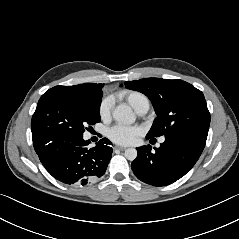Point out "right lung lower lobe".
Returning a JSON list of instances; mask_svg holds the SVG:
<instances>
[{"label": "right lung lower lobe", "mask_w": 239, "mask_h": 239, "mask_svg": "<svg viewBox=\"0 0 239 239\" xmlns=\"http://www.w3.org/2000/svg\"><path fill=\"white\" fill-rule=\"evenodd\" d=\"M90 141L83 135L58 136L36 153L46 170L65 184L86 185L101 177L112 157L110 141L102 139L89 148Z\"/></svg>", "instance_id": "1"}]
</instances>
